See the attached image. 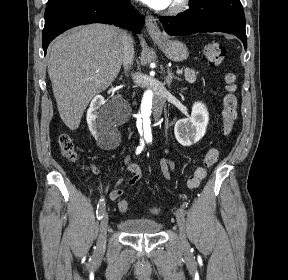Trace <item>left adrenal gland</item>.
<instances>
[{
  "label": "left adrenal gland",
  "mask_w": 288,
  "mask_h": 280,
  "mask_svg": "<svg viewBox=\"0 0 288 280\" xmlns=\"http://www.w3.org/2000/svg\"><path fill=\"white\" fill-rule=\"evenodd\" d=\"M174 79H175V80H178V81H181V79H180L179 77L175 76V75L172 73V71L168 68V69H167V76H166V79H165L168 87L171 86V84H172V82H173Z\"/></svg>",
  "instance_id": "a2214340"
}]
</instances>
